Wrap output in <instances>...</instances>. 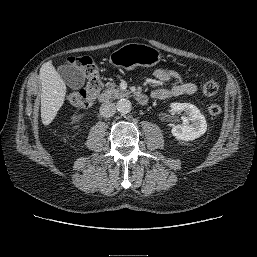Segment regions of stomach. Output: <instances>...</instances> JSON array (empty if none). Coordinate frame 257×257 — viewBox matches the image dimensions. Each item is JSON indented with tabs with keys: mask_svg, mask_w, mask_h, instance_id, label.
<instances>
[{
	"mask_svg": "<svg viewBox=\"0 0 257 257\" xmlns=\"http://www.w3.org/2000/svg\"><path fill=\"white\" fill-rule=\"evenodd\" d=\"M161 60L160 52L146 44L128 43L110 54L109 62L115 67L132 70L137 66L152 67Z\"/></svg>",
	"mask_w": 257,
	"mask_h": 257,
	"instance_id": "0dacf381",
	"label": "stomach"
}]
</instances>
